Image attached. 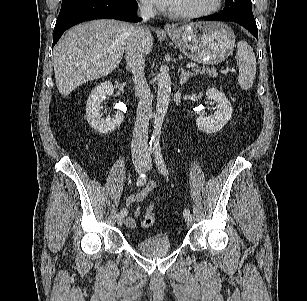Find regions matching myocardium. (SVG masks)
I'll return each mask as SVG.
<instances>
[{"label": "myocardium", "mask_w": 307, "mask_h": 301, "mask_svg": "<svg viewBox=\"0 0 307 301\" xmlns=\"http://www.w3.org/2000/svg\"><path fill=\"white\" fill-rule=\"evenodd\" d=\"M224 0H213L212 4L204 9L195 10V11H184V12H176L173 11V16L181 19H197L206 16H210L221 9L223 6Z\"/></svg>", "instance_id": "myocardium-1"}]
</instances>
